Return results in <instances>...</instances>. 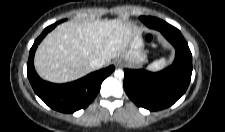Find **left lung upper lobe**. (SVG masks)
I'll use <instances>...</instances> for the list:
<instances>
[{
  "label": "left lung upper lobe",
  "instance_id": "obj_1",
  "mask_svg": "<svg viewBox=\"0 0 225 132\" xmlns=\"http://www.w3.org/2000/svg\"><path fill=\"white\" fill-rule=\"evenodd\" d=\"M145 18H146L145 16L140 17V19H141V21H142V22H144V21H145ZM144 23H145V22H144Z\"/></svg>",
  "mask_w": 225,
  "mask_h": 132
}]
</instances>
